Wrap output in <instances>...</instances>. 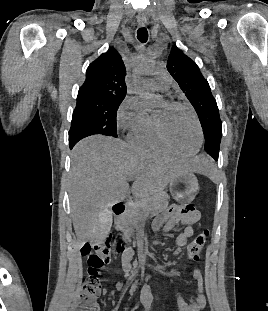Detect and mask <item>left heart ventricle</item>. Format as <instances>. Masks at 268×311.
Returning a JSON list of instances; mask_svg holds the SVG:
<instances>
[{"instance_id": "obj_1", "label": "left heart ventricle", "mask_w": 268, "mask_h": 311, "mask_svg": "<svg viewBox=\"0 0 268 311\" xmlns=\"http://www.w3.org/2000/svg\"><path fill=\"white\" fill-rule=\"evenodd\" d=\"M163 121L170 142L183 152H192L198 145L199 135L192 116L180 108H169L166 103L156 111Z\"/></svg>"}]
</instances>
